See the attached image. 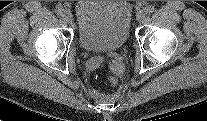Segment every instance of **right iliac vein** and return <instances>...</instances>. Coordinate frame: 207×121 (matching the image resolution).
Instances as JSON below:
<instances>
[{
	"label": "right iliac vein",
	"mask_w": 207,
	"mask_h": 121,
	"mask_svg": "<svg viewBox=\"0 0 207 121\" xmlns=\"http://www.w3.org/2000/svg\"><path fill=\"white\" fill-rule=\"evenodd\" d=\"M63 18L66 22L70 23L72 21V14L70 11H64Z\"/></svg>",
	"instance_id": "right-iliac-vein-1"
}]
</instances>
